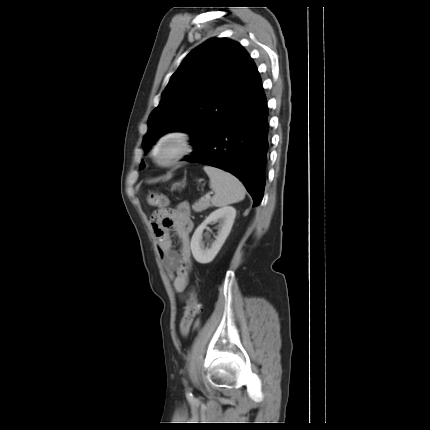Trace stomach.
Instances as JSON below:
<instances>
[{
	"instance_id": "1",
	"label": "stomach",
	"mask_w": 430,
	"mask_h": 430,
	"mask_svg": "<svg viewBox=\"0 0 430 430\" xmlns=\"http://www.w3.org/2000/svg\"><path fill=\"white\" fill-rule=\"evenodd\" d=\"M177 186H180V184L176 183L173 185V189H175Z\"/></svg>"
}]
</instances>
